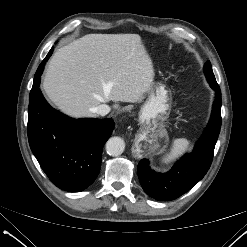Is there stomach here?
Instances as JSON below:
<instances>
[{
  "mask_svg": "<svg viewBox=\"0 0 247 247\" xmlns=\"http://www.w3.org/2000/svg\"><path fill=\"white\" fill-rule=\"evenodd\" d=\"M172 105V95L163 83H155L147 92V99L139 112L140 123L150 128L162 125L169 117Z\"/></svg>",
  "mask_w": 247,
  "mask_h": 247,
  "instance_id": "obj_1",
  "label": "stomach"
}]
</instances>
